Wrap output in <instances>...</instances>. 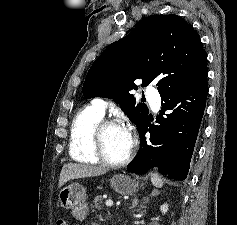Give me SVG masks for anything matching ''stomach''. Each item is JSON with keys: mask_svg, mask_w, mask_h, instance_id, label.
<instances>
[{"mask_svg": "<svg viewBox=\"0 0 237 225\" xmlns=\"http://www.w3.org/2000/svg\"><path fill=\"white\" fill-rule=\"evenodd\" d=\"M111 187L119 194L129 195L137 190L139 183L126 175L116 174L111 180ZM85 188L75 182L63 187L58 194V200L63 208L70 209L72 215L77 219H83L87 215Z\"/></svg>", "mask_w": 237, "mask_h": 225, "instance_id": "obj_1", "label": "stomach"}]
</instances>
